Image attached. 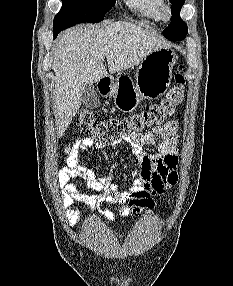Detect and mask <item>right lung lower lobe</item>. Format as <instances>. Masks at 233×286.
Listing matches in <instances>:
<instances>
[{
	"label": "right lung lower lobe",
	"instance_id": "obj_1",
	"mask_svg": "<svg viewBox=\"0 0 233 286\" xmlns=\"http://www.w3.org/2000/svg\"><path fill=\"white\" fill-rule=\"evenodd\" d=\"M67 28H69V26H60V27L53 28V31H54L53 36H54V38L58 35V33H60L62 30L67 29Z\"/></svg>",
	"mask_w": 233,
	"mask_h": 286
}]
</instances>
